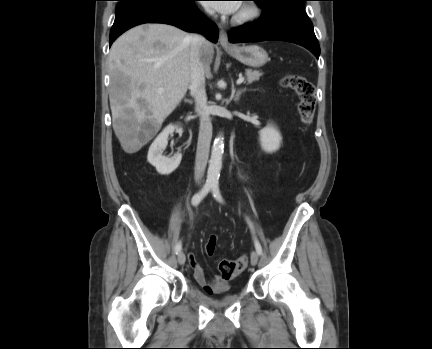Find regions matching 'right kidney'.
Wrapping results in <instances>:
<instances>
[{"label": "right kidney", "instance_id": "1", "mask_svg": "<svg viewBox=\"0 0 432 349\" xmlns=\"http://www.w3.org/2000/svg\"><path fill=\"white\" fill-rule=\"evenodd\" d=\"M177 129V126L168 125L154 140L151 144L147 160L154 166L159 174L169 175L175 171L182 159L180 153L175 154L173 157L169 158L163 155V150L168 144V136Z\"/></svg>", "mask_w": 432, "mask_h": 349}]
</instances>
